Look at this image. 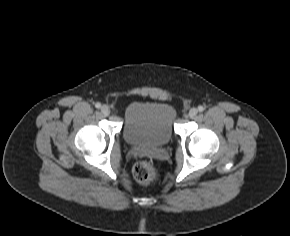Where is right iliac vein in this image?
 I'll list each match as a JSON object with an SVG mask.
<instances>
[{"mask_svg":"<svg viewBox=\"0 0 290 236\" xmlns=\"http://www.w3.org/2000/svg\"><path fill=\"white\" fill-rule=\"evenodd\" d=\"M101 112L103 115L107 116L110 114V108L107 105L101 106Z\"/></svg>","mask_w":290,"mask_h":236,"instance_id":"right-iliac-vein-1","label":"right iliac vein"}]
</instances>
